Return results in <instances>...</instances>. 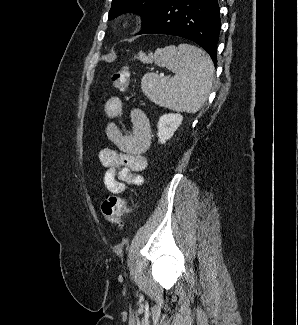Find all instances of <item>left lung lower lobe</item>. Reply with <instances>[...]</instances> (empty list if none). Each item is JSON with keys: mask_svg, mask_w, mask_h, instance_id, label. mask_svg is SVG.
<instances>
[{"mask_svg": "<svg viewBox=\"0 0 298 325\" xmlns=\"http://www.w3.org/2000/svg\"><path fill=\"white\" fill-rule=\"evenodd\" d=\"M221 27L217 0H167L138 34H167L200 45L217 63V42Z\"/></svg>", "mask_w": 298, "mask_h": 325, "instance_id": "1", "label": "left lung lower lobe"}]
</instances>
